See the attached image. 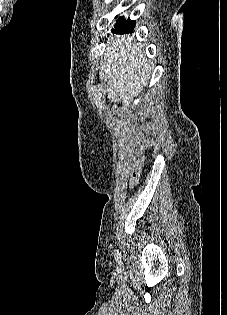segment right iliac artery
<instances>
[{"mask_svg":"<svg viewBox=\"0 0 227 315\" xmlns=\"http://www.w3.org/2000/svg\"><path fill=\"white\" fill-rule=\"evenodd\" d=\"M115 260L118 262V264L121 266L122 262H121V256L120 253L118 252V250H116L115 252Z\"/></svg>","mask_w":227,"mask_h":315,"instance_id":"82829eb1","label":"right iliac artery"}]
</instances>
